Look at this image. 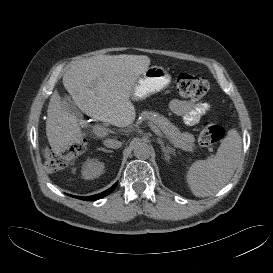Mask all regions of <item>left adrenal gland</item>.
Listing matches in <instances>:
<instances>
[{"mask_svg":"<svg viewBox=\"0 0 273 273\" xmlns=\"http://www.w3.org/2000/svg\"><path fill=\"white\" fill-rule=\"evenodd\" d=\"M157 143L160 144L162 152L164 153V157L166 160L170 159V155L172 153V148L170 146H165L164 142L160 139L157 138Z\"/></svg>","mask_w":273,"mask_h":273,"instance_id":"left-adrenal-gland-1","label":"left adrenal gland"}]
</instances>
